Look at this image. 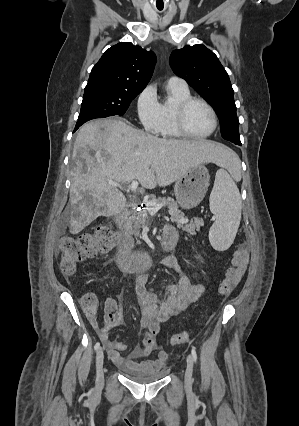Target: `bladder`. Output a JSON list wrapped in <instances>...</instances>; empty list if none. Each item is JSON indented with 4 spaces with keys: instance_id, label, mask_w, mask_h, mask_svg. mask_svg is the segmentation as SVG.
I'll use <instances>...</instances> for the list:
<instances>
[{
    "instance_id": "obj_1",
    "label": "bladder",
    "mask_w": 299,
    "mask_h": 426,
    "mask_svg": "<svg viewBox=\"0 0 299 426\" xmlns=\"http://www.w3.org/2000/svg\"><path fill=\"white\" fill-rule=\"evenodd\" d=\"M123 373L134 382L146 384L163 379L167 375L168 369L166 367L154 369H125Z\"/></svg>"
}]
</instances>
